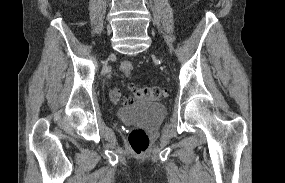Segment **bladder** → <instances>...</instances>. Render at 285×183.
Instances as JSON below:
<instances>
[{
  "label": "bladder",
  "instance_id": "bladder-1",
  "mask_svg": "<svg viewBox=\"0 0 285 183\" xmlns=\"http://www.w3.org/2000/svg\"><path fill=\"white\" fill-rule=\"evenodd\" d=\"M117 116L121 120H136L145 128L154 129L164 120L166 109L156 102H140L121 107Z\"/></svg>",
  "mask_w": 285,
  "mask_h": 183
}]
</instances>
